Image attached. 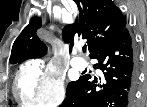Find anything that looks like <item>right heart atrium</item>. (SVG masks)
<instances>
[{"label":"right heart atrium","instance_id":"right-heart-atrium-1","mask_svg":"<svg viewBox=\"0 0 147 107\" xmlns=\"http://www.w3.org/2000/svg\"><path fill=\"white\" fill-rule=\"evenodd\" d=\"M63 75L53 65L29 62L17 75L16 96L20 104L53 107L65 98Z\"/></svg>","mask_w":147,"mask_h":107}]
</instances>
